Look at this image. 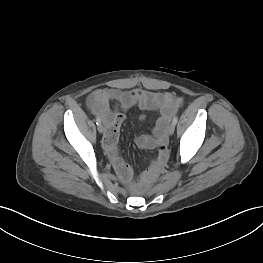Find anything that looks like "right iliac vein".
<instances>
[{
	"label": "right iliac vein",
	"mask_w": 263,
	"mask_h": 263,
	"mask_svg": "<svg viewBox=\"0 0 263 263\" xmlns=\"http://www.w3.org/2000/svg\"><path fill=\"white\" fill-rule=\"evenodd\" d=\"M97 128H98L99 133H101V134L104 133L105 128L102 124H99Z\"/></svg>",
	"instance_id": "1"
}]
</instances>
